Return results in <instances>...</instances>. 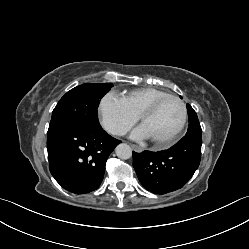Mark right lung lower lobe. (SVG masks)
<instances>
[{
	"mask_svg": "<svg viewBox=\"0 0 249 249\" xmlns=\"http://www.w3.org/2000/svg\"><path fill=\"white\" fill-rule=\"evenodd\" d=\"M121 141L101 126H79L47 137L50 172L67 191L85 194L98 189L108 156Z\"/></svg>",
	"mask_w": 249,
	"mask_h": 249,
	"instance_id": "98d812e1",
	"label": "right lung lower lobe"
}]
</instances>
